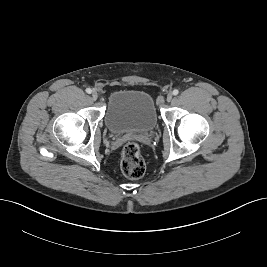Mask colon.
<instances>
[{"label": "colon", "instance_id": "obj_1", "mask_svg": "<svg viewBox=\"0 0 267 267\" xmlns=\"http://www.w3.org/2000/svg\"><path fill=\"white\" fill-rule=\"evenodd\" d=\"M121 169L130 179H138L145 173V163L140 146L135 142L127 143L122 151Z\"/></svg>", "mask_w": 267, "mask_h": 267}]
</instances>
